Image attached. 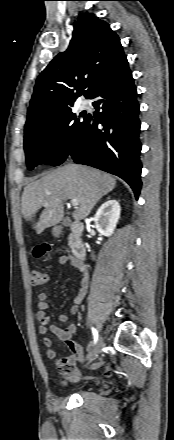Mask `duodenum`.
Segmentation results:
<instances>
[{"mask_svg": "<svg viewBox=\"0 0 174 440\" xmlns=\"http://www.w3.org/2000/svg\"><path fill=\"white\" fill-rule=\"evenodd\" d=\"M70 249L73 257L77 260L79 268L85 270L84 260L86 257V247L82 240L84 225L82 222H75L71 225Z\"/></svg>", "mask_w": 174, "mask_h": 440, "instance_id": "1", "label": "duodenum"}]
</instances>
